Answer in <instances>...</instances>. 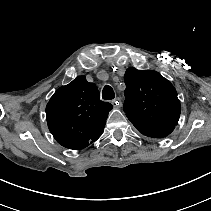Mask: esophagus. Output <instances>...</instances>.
I'll return each instance as SVG.
<instances>
[{
  "label": "esophagus",
  "instance_id": "obj_1",
  "mask_svg": "<svg viewBox=\"0 0 211 211\" xmlns=\"http://www.w3.org/2000/svg\"><path fill=\"white\" fill-rule=\"evenodd\" d=\"M112 105L115 108H120L122 106V102L120 100V98H116L112 101Z\"/></svg>",
  "mask_w": 211,
  "mask_h": 211
}]
</instances>
